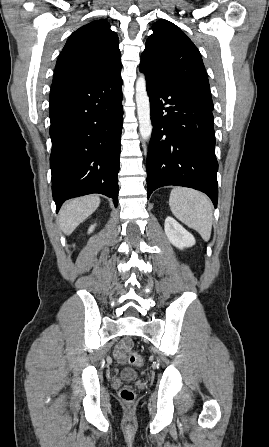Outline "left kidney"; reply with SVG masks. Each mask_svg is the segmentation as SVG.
I'll return each mask as SVG.
<instances>
[{
    "instance_id": "1",
    "label": "left kidney",
    "mask_w": 269,
    "mask_h": 447,
    "mask_svg": "<svg viewBox=\"0 0 269 447\" xmlns=\"http://www.w3.org/2000/svg\"><path fill=\"white\" fill-rule=\"evenodd\" d=\"M165 233L173 245L183 249V247H191L195 243V237L192 233H189L183 225L178 224L174 218L168 216L164 224Z\"/></svg>"
}]
</instances>
